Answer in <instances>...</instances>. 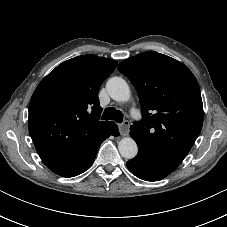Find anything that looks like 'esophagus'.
I'll return each mask as SVG.
<instances>
[{"instance_id":"obj_1","label":"esophagus","mask_w":227,"mask_h":227,"mask_svg":"<svg viewBox=\"0 0 227 227\" xmlns=\"http://www.w3.org/2000/svg\"><path fill=\"white\" fill-rule=\"evenodd\" d=\"M129 126H130V123L127 120H125L123 123L118 125L119 132L122 136H126L128 134Z\"/></svg>"}]
</instances>
